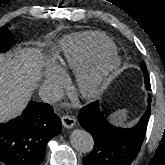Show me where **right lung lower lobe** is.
I'll use <instances>...</instances> for the list:
<instances>
[{
  "mask_svg": "<svg viewBox=\"0 0 165 165\" xmlns=\"http://www.w3.org/2000/svg\"><path fill=\"white\" fill-rule=\"evenodd\" d=\"M61 130V120L49 104L29 102L21 116L0 123V162L39 165L48 140Z\"/></svg>",
  "mask_w": 165,
  "mask_h": 165,
  "instance_id": "1",
  "label": "right lung lower lobe"
}]
</instances>
